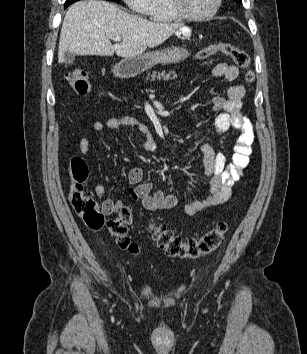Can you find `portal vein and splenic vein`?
Instances as JSON below:
<instances>
[{
	"mask_svg": "<svg viewBox=\"0 0 307 354\" xmlns=\"http://www.w3.org/2000/svg\"><path fill=\"white\" fill-rule=\"evenodd\" d=\"M113 41L118 42L121 41V37L120 36H115L111 38Z\"/></svg>",
	"mask_w": 307,
	"mask_h": 354,
	"instance_id": "portal-vein-and-splenic-vein-1",
	"label": "portal vein and splenic vein"
}]
</instances>
